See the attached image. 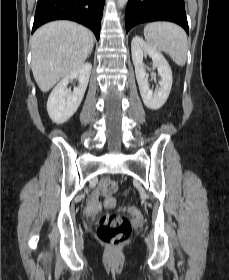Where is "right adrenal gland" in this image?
Here are the masks:
<instances>
[{
  "instance_id": "right-adrenal-gland-1",
  "label": "right adrenal gland",
  "mask_w": 229,
  "mask_h": 280,
  "mask_svg": "<svg viewBox=\"0 0 229 280\" xmlns=\"http://www.w3.org/2000/svg\"><path fill=\"white\" fill-rule=\"evenodd\" d=\"M91 53H92V49H91V51L89 52V55H91Z\"/></svg>"
}]
</instances>
